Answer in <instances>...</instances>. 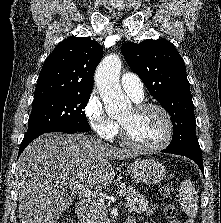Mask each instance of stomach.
Instances as JSON below:
<instances>
[{"instance_id": "0dacf381", "label": "stomach", "mask_w": 221, "mask_h": 223, "mask_svg": "<svg viewBox=\"0 0 221 223\" xmlns=\"http://www.w3.org/2000/svg\"><path fill=\"white\" fill-rule=\"evenodd\" d=\"M126 167L136 182L146 185L159 183L166 175L164 166L152 159H138L126 164Z\"/></svg>"}]
</instances>
